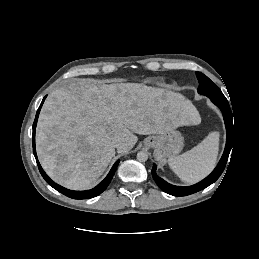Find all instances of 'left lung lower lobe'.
<instances>
[{"label": "left lung lower lobe", "mask_w": 259, "mask_h": 259, "mask_svg": "<svg viewBox=\"0 0 259 259\" xmlns=\"http://www.w3.org/2000/svg\"><path fill=\"white\" fill-rule=\"evenodd\" d=\"M209 98L216 106H218L220 108V110L223 113V117H224V121H225V126H226V131H227V140H226V146H225V150L222 155V158L220 159V161H219L218 165L216 166V168L214 169V171L208 177H206L201 182H199L195 185H192V186H188V187H179V186H174V185L167 183L166 181H164L162 178H160L156 174L157 167L155 164H153L152 176H153L155 182L164 192H166L170 195L186 196V195L193 194L195 192H198V191L208 187L209 185L214 183L220 177V175L222 174V172L226 166L228 156H229V153H230L232 145H233L232 113H231L229 103H228L227 99L225 98V96L209 97Z\"/></svg>", "instance_id": "1"}]
</instances>
